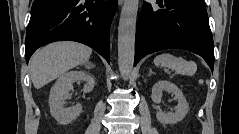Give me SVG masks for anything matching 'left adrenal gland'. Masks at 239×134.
Instances as JSON below:
<instances>
[{"label":"left adrenal gland","instance_id":"obj_1","mask_svg":"<svg viewBox=\"0 0 239 134\" xmlns=\"http://www.w3.org/2000/svg\"><path fill=\"white\" fill-rule=\"evenodd\" d=\"M154 72L152 71V69L150 68L149 69V75L148 76H151Z\"/></svg>","mask_w":239,"mask_h":134}]
</instances>
